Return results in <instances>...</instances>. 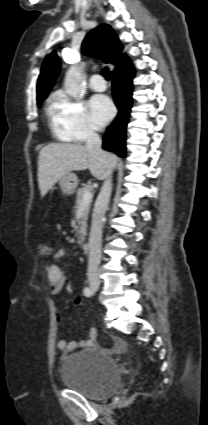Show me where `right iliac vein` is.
<instances>
[{
  "label": "right iliac vein",
  "mask_w": 208,
  "mask_h": 425,
  "mask_svg": "<svg viewBox=\"0 0 208 425\" xmlns=\"http://www.w3.org/2000/svg\"><path fill=\"white\" fill-rule=\"evenodd\" d=\"M90 287L92 290L97 291L99 289V284L96 282H91Z\"/></svg>",
  "instance_id": "right-iliac-vein-1"
}]
</instances>
